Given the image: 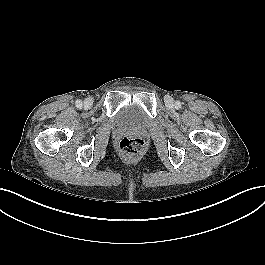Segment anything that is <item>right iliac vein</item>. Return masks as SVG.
I'll return each mask as SVG.
<instances>
[{"label": "right iliac vein", "mask_w": 265, "mask_h": 265, "mask_svg": "<svg viewBox=\"0 0 265 265\" xmlns=\"http://www.w3.org/2000/svg\"><path fill=\"white\" fill-rule=\"evenodd\" d=\"M92 105V100L87 98L84 100V107L89 108Z\"/></svg>", "instance_id": "1"}]
</instances>
